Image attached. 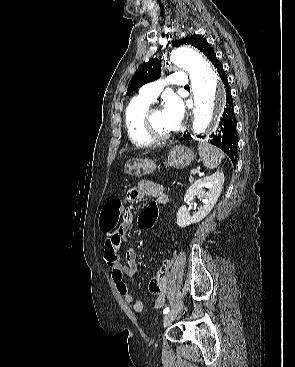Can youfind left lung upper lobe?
<instances>
[{"label":"left lung upper lobe","instance_id":"obj_1","mask_svg":"<svg viewBox=\"0 0 295 367\" xmlns=\"http://www.w3.org/2000/svg\"><path fill=\"white\" fill-rule=\"evenodd\" d=\"M192 45L198 48L212 62L216 59L213 48L205 38L200 35L185 37L172 42V46ZM161 76V62L157 58H151L132 77L126 95L135 91L146 83L154 81Z\"/></svg>","mask_w":295,"mask_h":367}]
</instances>
